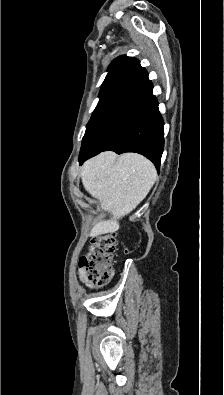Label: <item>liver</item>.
<instances>
[{
	"label": "liver",
	"mask_w": 224,
	"mask_h": 395,
	"mask_svg": "<svg viewBox=\"0 0 224 395\" xmlns=\"http://www.w3.org/2000/svg\"><path fill=\"white\" fill-rule=\"evenodd\" d=\"M86 191L111 214L93 226L90 236L112 233L119 220L133 211L147 196L157 179L154 165L137 153L121 156L107 151L86 161L80 173Z\"/></svg>",
	"instance_id": "6515ba94"
}]
</instances>
